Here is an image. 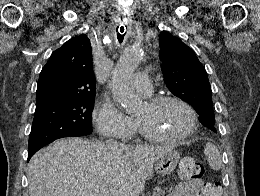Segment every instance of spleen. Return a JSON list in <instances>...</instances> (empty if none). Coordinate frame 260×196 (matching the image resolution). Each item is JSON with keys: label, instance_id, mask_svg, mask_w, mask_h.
<instances>
[{"label": "spleen", "instance_id": "3e777b00", "mask_svg": "<svg viewBox=\"0 0 260 196\" xmlns=\"http://www.w3.org/2000/svg\"><path fill=\"white\" fill-rule=\"evenodd\" d=\"M204 154L207 158V162L211 170H220L222 162L220 152H218L216 146H214V144H211V142H207L204 148Z\"/></svg>", "mask_w": 260, "mask_h": 196}]
</instances>
